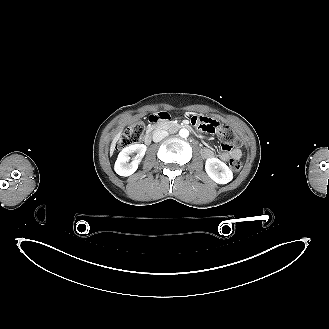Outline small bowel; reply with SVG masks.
Wrapping results in <instances>:
<instances>
[{"label":"small bowel","instance_id":"1","mask_svg":"<svg viewBox=\"0 0 329 329\" xmlns=\"http://www.w3.org/2000/svg\"><path fill=\"white\" fill-rule=\"evenodd\" d=\"M184 120L186 122H190L195 128L202 130L205 134H211L216 129L219 128L220 123L216 119H210L207 116H203L198 113H186L184 115ZM202 155L206 159H210L214 156V152L212 149L205 147L202 149ZM241 155V151L237 148L234 149H224L219 153V159L222 161L228 160L230 157H239Z\"/></svg>","mask_w":329,"mask_h":329}]
</instances>
